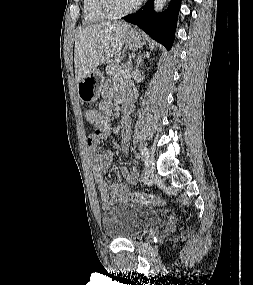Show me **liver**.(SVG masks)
Here are the masks:
<instances>
[{
	"label": "liver",
	"instance_id": "6515ba94",
	"mask_svg": "<svg viewBox=\"0 0 253 285\" xmlns=\"http://www.w3.org/2000/svg\"><path fill=\"white\" fill-rule=\"evenodd\" d=\"M130 27L125 22H106L79 30L74 50L76 83L122 49Z\"/></svg>",
	"mask_w": 253,
	"mask_h": 285
}]
</instances>
